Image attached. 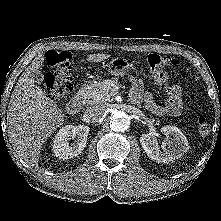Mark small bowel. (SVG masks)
<instances>
[{
  "label": "small bowel",
  "mask_w": 221,
  "mask_h": 221,
  "mask_svg": "<svg viewBox=\"0 0 221 221\" xmlns=\"http://www.w3.org/2000/svg\"><path fill=\"white\" fill-rule=\"evenodd\" d=\"M131 83L130 99L134 103L144 100L146 108L156 115H178L182 110L181 89L178 85L166 88L167 98L161 102L155 100L149 92H144L143 83L134 76H128Z\"/></svg>",
  "instance_id": "small-bowel-1"
}]
</instances>
